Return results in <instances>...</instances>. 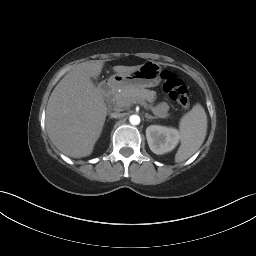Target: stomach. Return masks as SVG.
Listing matches in <instances>:
<instances>
[{
	"instance_id": "1",
	"label": "stomach",
	"mask_w": 256,
	"mask_h": 256,
	"mask_svg": "<svg viewBox=\"0 0 256 256\" xmlns=\"http://www.w3.org/2000/svg\"><path fill=\"white\" fill-rule=\"evenodd\" d=\"M162 68L158 62L147 61L134 72L128 74L116 73L109 78V82L117 88H150L161 82Z\"/></svg>"
}]
</instances>
